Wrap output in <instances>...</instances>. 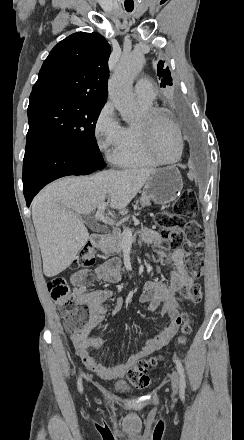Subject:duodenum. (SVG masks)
Wrapping results in <instances>:
<instances>
[{"instance_id": "duodenum-1", "label": "duodenum", "mask_w": 244, "mask_h": 440, "mask_svg": "<svg viewBox=\"0 0 244 440\" xmlns=\"http://www.w3.org/2000/svg\"><path fill=\"white\" fill-rule=\"evenodd\" d=\"M91 244L96 249L102 250L105 247V238L101 233H95L91 238Z\"/></svg>"}]
</instances>
